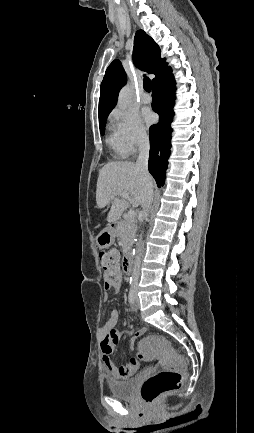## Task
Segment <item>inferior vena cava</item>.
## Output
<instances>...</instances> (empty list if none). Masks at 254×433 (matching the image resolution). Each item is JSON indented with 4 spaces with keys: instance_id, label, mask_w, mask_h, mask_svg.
Listing matches in <instances>:
<instances>
[{
    "instance_id": "obj_1",
    "label": "inferior vena cava",
    "mask_w": 254,
    "mask_h": 433,
    "mask_svg": "<svg viewBox=\"0 0 254 433\" xmlns=\"http://www.w3.org/2000/svg\"><path fill=\"white\" fill-rule=\"evenodd\" d=\"M149 137L143 134L139 138V156L136 162V167L141 170L144 176V194L142 198V214L148 215L149 208L153 201V183L148 172V159H149ZM140 257L136 256L132 272V286L138 285L139 272H140Z\"/></svg>"
}]
</instances>
